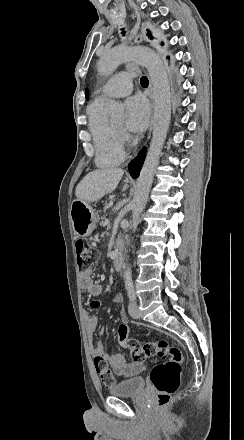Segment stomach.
Returning <instances> with one entry per match:
<instances>
[{
    "label": "stomach",
    "mask_w": 244,
    "mask_h": 440,
    "mask_svg": "<svg viewBox=\"0 0 244 440\" xmlns=\"http://www.w3.org/2000/svg\"><path fill=\"white\" fill-rule=\"evenodd\" d=\"M69 216L75 236L87 238L96 228V212L86 200H73Z\"/></svg>",
    "instance_id": "stomach-1"
}]
</instances>
